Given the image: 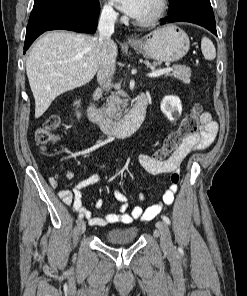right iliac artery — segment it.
Wrapping results in <instances>:
<instances>
[{
    "label": "right iliac artery",
    "instance_id": "obj_1",
    "mask_svg": "<svg viewBox=\"0 0 247 296\" xmlns=\"http://www.w3.org/2000/svg\"><path fill=\"white\" fill-rule=\"evenodd\" d=\"M82 218H83V215H79V216H78V219H82Z\"/></svg>",
    "mask_w": 247,
    "mask_h": 296
}]
</instances>
